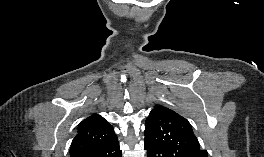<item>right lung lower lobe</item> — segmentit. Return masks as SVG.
<instances>
[{"label":"right lung lower lobe","mask_w":264,"mask_h":157,"mask_svg":"<svg viewBox=\"0 0 264 157\" xmlns=\"http://www.w3.org/2000/svg\"><path fill=\"white\" fill-rule=\"evenodd\" d=\"M86 157H122V151L119 148V142L116 139L106 147L97 150Z\"/></svg>","instance_id":"obj_1"}]
</instances>
